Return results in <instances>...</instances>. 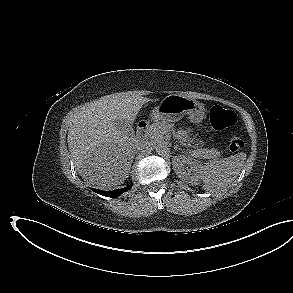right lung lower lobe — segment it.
<instances>
[{"label": "right lung lower lobe", "instance_id": "98d812e1", "mask_svg": "<svg viewBox=\"0 0 293 293\" xmlns=\"http://www.w3.org/2000/svg\"><path fill=\"white\" fill-rule=\"evenodd\" d=\"M131 186L132 185H129V186L125 187V188L118 189V190H115V191H112V192L102 191V190L94 189V188H92V190L95 191L96 193L101 194V195L106 196V197H116V196L122 194L123 192L131 189Z\"/></svg>", "mask_w": 293, "mask_h": 293}]
</instances>
